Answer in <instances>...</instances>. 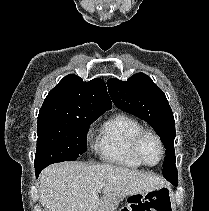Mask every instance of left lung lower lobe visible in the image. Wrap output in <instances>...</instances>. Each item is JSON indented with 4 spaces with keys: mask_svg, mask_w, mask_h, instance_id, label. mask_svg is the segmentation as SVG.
Returning <instances> with one entry per match:
<instances>
[{
    "mask_svg": "<svg viewBox=\"0 0 209 211\" xmlns=\"http://www.w3.org/2000/svg\"><path fill=\"white\" fill-rule=\"evenodd\" d=\"M165 178L168 181H170L174 186H177V184H178V174H176L175 176L167 175V176H165Z\"/></svg>",
    "mask_w": 209,
    "mask_h": 211,
    "instance_id": "1",
    "label": "left lung lower lobe"
}]
</instances>
